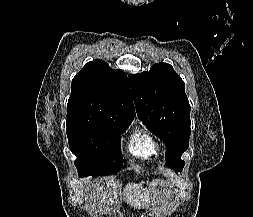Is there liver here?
I'll return each mask as SVG.
<instances>
[{"instance_id":"1","label":"liver","mask_w":253,"mask_h":217,"mask_svg":"<svg viewBox=\"0 0 253 217\" xmlns=\"http://www.w3.org/2000/svg\"><path fill=\"white\" fill-rule=\"evenodd\" d=\"M119 182L114 181V178H110L106 182V186L98 184L93 190L90 189L89 196L92 199L94 205H97L103 213L111 212L113 207L118 203L117 191ZM153 188L156 185H152ZM142 187L138 184H127L121 191L119 189V195L123 196V199L127 204H130L134 208H146V210H152L159 205L162 192L153 190L152 193L146 191L141 193ZM152 207V208H151Z\"/></svg>"}]
</instances>
